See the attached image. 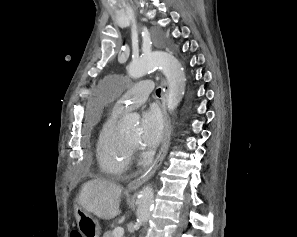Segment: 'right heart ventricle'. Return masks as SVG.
<instances>
[{
    "label": "right heart ventricle",
    "mask_w": 297,
    "mask_h": 237,
    "mask_svg": "<svg viewBox=\"0 0 297 237\" xmlns=\"http://www.w3.org/2000/svg\"><path fill=\"white\" fill-rule=\"evenodd\" d=\"M118 116L117 111L108 114L100 128L96 144L99 168L109 176L123 174L132 160V150L116 127Z\"/></svg>",
    "instance_id": "e07e8e85"
}]
</instances>
